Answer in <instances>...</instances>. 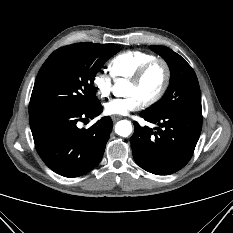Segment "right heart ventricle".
<instances>
[{
    "label": "right heart ventricle",
    "mask_w": 233,
    "mask_h": 233,
    "mask_svg": "<svg viewBox=\"0 0 233 233\" xmlns=\"http://www.w3.org/2000/svg\"><path fill=\"white\" fill-rule=\"evenodd\" d=\"M156 58L153 54L140 50H128L116 55L109 63L111 75L118 78H131L146 62Z\"/></svg>",
    "instance_id": "right-heart-ventricle-1"
}]
</instances>
